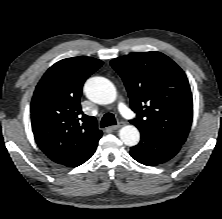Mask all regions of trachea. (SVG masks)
Returning <instances> with one entry per match:
<instances>
[{"label": "trachea", "mask_w": 222, "mask_h": 219, "mask_svg": "<svg viewBox=\"0 0 222 219\" xmlns=\"http://www.w3.org/2000/svg\"><path fill=\"white\" fill-rule=\"evenodd\" d=\"M116 125V119L112 113H107L102 117L101 128Z\"/></svg>", "instance_id": "3493384b"}]
</instances>
